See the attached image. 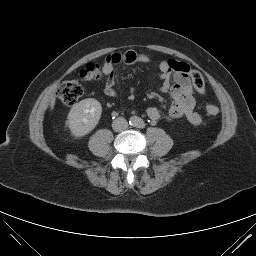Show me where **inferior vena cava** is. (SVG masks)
Here are the masks:
<instances>
[{"label": "inferior vena cava", "instance_id": "obj_1", "mask_svg": "<svg viewBox=\"0 0 256 256\" xmlns=\"http://www.w3.org/2000/svg\"><path fill=\"white\" fill-rule=\"evenodd\" d=\"M112 128L116 132H122L128 128V122L125 118L118 117L113 121Z\"/></svg>", "mask_w": 256, "mask_h": 256}]
</instances>
